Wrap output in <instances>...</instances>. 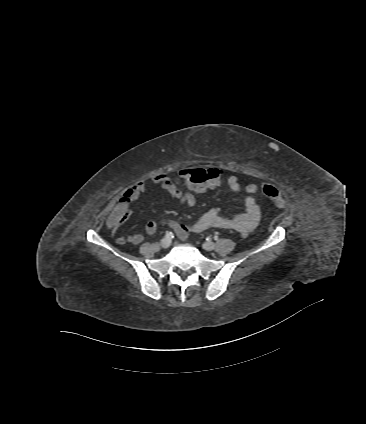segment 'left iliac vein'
<instances>
[{
	"mask_svg": "<svg viewBox=\"0 0 366 424\" xmlns=\"http://www.w3.org/2000/svg\"><path fill=\"white\" fill-rule=\"evenodd\" d=\"M203 248L207 251H211L215 248V243L212 241L206 242L203 244Z\"/></svg>",
	"mask_w": 366,
	"mask_h": 424,
	"instance_id": "1",
	"label": "left iliac vein"
}]
</instances>
